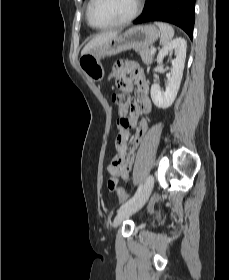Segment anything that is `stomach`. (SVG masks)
I'll list each match as a JSON object with an SVG mask.
<instances>
[{
	"label": "stomach",
	"mask_w": 229,
	"mask_h": 280,
	"mask_svg": "<svg viewBox=\"0 0 229 280\" xmlns=\"http://www.w3.org/2000/svg\"><path fill=\"white\" fill-rule=\"evenodd\" d=\"M160 32L154 25H138L125 33L93 48L79 59L83 73L94 81H101L104 69L101 60L129 49H148L159 37Z\"/></svg>",
	"instance_id": "1"
}]
</instances>
